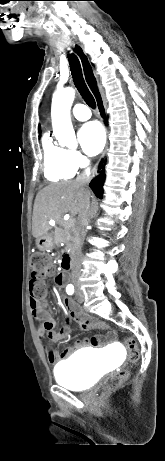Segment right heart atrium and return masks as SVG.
<instances>
[{
  "instance_id": "1",
  "label": "right heart atrium",
  "mask_w": 165,
  "mask_h": 461,
  "mask_svg": "<svg viewBox=\"0 0 165 461\" xmlns=\"http://www.w3.org/2000/svg\"><path fill=\"white\" fill-rule=\"evenodd\" d=\"M68 159L71 165L74 166L75 168L84 167L86 164V159L84 155L78 150H74V149L68 150Z\"/></svg>"
}]
</instances>
